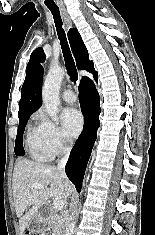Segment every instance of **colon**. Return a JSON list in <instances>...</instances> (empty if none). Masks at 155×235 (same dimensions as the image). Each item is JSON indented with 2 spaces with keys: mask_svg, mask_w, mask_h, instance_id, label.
Wrapping results in <instances>:
<instances>
[{
  "mask_svg": "<svg viewBox=\"0 0 155 235\" xmlns=\"http://www.w3.org/2000/svg\"><path fill=\"white\" fill-rule=\"evenodd\" d=\"M27 235H34V234H32V233H27Z\"/></svg>",
  "mask_w": 155,
  "mask_h": 235,
  "instance_id": "colon-1",
  "label": "colon"
}]
</instances>
